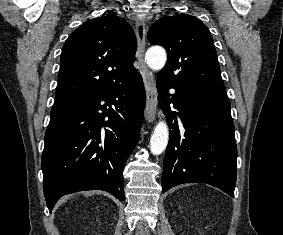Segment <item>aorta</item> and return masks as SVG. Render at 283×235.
Here are the masks:
<instances>
[{
	"instance_id": "1",
	"label": "aorta",
	"mask_w": 283,
	"mask_h": 235,
	"mask_svg": "<svg viewBox=\"0 0 283 235\" xmlns=\"http://www.w3.org/2000/svg\"><path fill=\"white\" fill-rule=\"evenodd\" d=\"M147 65L154 71L161 70L167 60L166 52L162 47H151L145 55ZM169 130L165 121H159L155 126L150 139V150L154 155H160L168 144Z\"/></svg>"
}]
</instances>
